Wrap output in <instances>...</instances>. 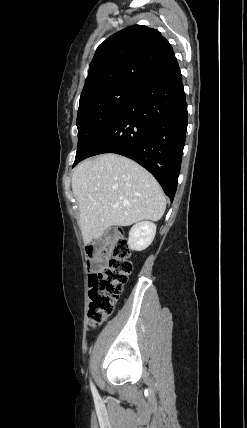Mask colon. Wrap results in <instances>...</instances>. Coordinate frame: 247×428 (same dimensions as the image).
<instances>
[{
	"label": "colon",
	"mask_w": 247,
	"mask_h": 428,
	"mask_svg": "<svg viewBox=\"0 0 247 428\" xmlns=\"http://www.w3.org/2000/svg\"><path fill=\"white\" fill-rule=\"evenodd\" d=\"M88 254L95 269L89 277L88 318L92 326H97L113 312L133 266L129 243L118 230L108 233L101 249H91Z\"/></svg>",
	"instance_id": "5ec220e1"
}]
</instances>
